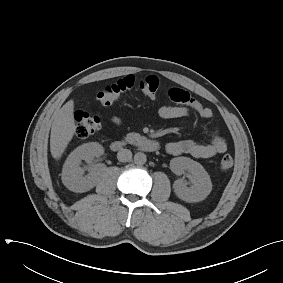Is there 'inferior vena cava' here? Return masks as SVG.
<instances>
[{
	"label": "inferior vena cava",
	"instance_id": "obj_1",
	"mask_svg": "<svg viewBox=\"0 0 283 283\" xmlns=\"http://www.w3.org/2000/svg\"><path fill=\"white\" fill-rule=\"evenodd\" d=\"M117 158L120 162H128L132 159V152L129 149H121L117 153Z\"/></svg>",
	"mask_w": 283,
	"mask_h": 283
}]
</instances>
